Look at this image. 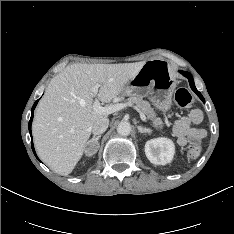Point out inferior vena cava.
<instances>
[{
    "label": "inferior vena cava",
    "mask_w": 234,
    "mask_h": 234,
    "mask_svg": "<svg viewBox=\"0 0 234 234\" xmlns=\"http://www.w3.org/2000/svg\"><path fill=\"white\" fill-rule=\"evenodd\" d=\"M108 125H109V119L101 118L92 125V133L94 135L102 134L107 130Z\"/></svg>",
    "instance_id": "1"
}]
</instances>
